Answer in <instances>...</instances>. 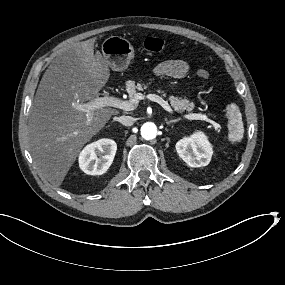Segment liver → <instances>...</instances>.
Wrapping results in <instances>:
<instances>
[{
  "instance_id": "liver-1",
  "label": "liver",
  "mask_w": 285,
  "mask_h": 285,
  "mask_svg": "<svg viewBox=\"0 0 285 285\" xmlns=\"http://www.w3.org/2000/svg\"><path fill=\"white\" fill-rule=\"evenodd\" d=\"M95 39L77 42L60 52L45 71L28 120V148L33 163L47 180L59 187L82 147L118 110L96 109L90 123L76 109L99 96L110 72Z\"/></svg>"
}]
</instances>
